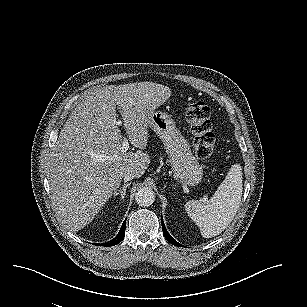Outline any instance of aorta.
Instances as JSON below:
<instances>
[{
    "mask_svg": "<svg viewBox=\"0 0 307 307\" xmlns=\"http://www.w3.org/2000/svg\"><path fill=\"white\" fill-rule=\"evenodd\" d=\"M137 204L142 207H148L155 201V193L150 187L140 188L135 194Z\"/></svg>",
    "mask_w": 307,
    "mask_h": 307,
    "instance_id": "762f6f07",
    "label": "aorta"
}]
</instances>
